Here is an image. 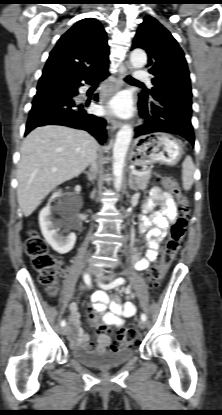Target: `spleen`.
<instances>
[{"instance_id": "3e777b00", "label": "spleen", "mask_w": 222, "mask_h": 415, "mask_svg": "<svg viewBox=\"0 0 222 415\" xmlns=\"http://www.w3.org/2000/svg\"><path fill=\"white\" fill-rule=\"evenodd\" d=\"M182 186L185 191L191 189L194 182L195 167L190 156H187L182 164Z\"/></svg>"}]
</instances>
